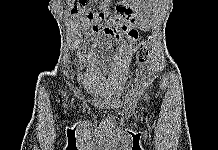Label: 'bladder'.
Masks as SVG:
<instances>
[{
  "instance_id": "bladder-1",
  "label": "bladder",
  "mask_w": 218,
  "mask_h": 150,
  "mask_svg": "<svg viewBox=\"0 0 218 150\" xmlns=\"http://www.w3.org/2000/svg\"><path fill=\"white\" fill-rule=\"evenodd\" d=\"M97 48L99 49L100 54L103 56H110L113 51V46L106 40H101L97 44ZM80 77L85 85V88L89 91L94 92V88L90 84V72L87 68L80 69Z\"/></svg>"
}]
</instances>
